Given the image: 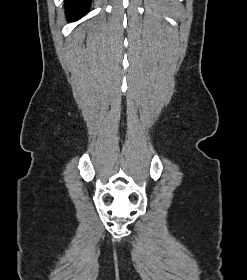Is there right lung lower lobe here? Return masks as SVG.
I'll use <instances>...</instances> for the list:
<instances>
[{"label": "right lung lower lobe", "mask_w": 247, "mask_h": 280, "mask_svg": "<svg viewBox=\"0 0 247 280\" xmlns=\"http://www.w3.org/2000/svg\"><path fill=\"white\" fill-rule=\"evenodd\" d=\"M91 0H67L66 18L68 21L77 20L89 12Z\"/></svg>", "instance_id": "98d812e1"}]
</instances>
